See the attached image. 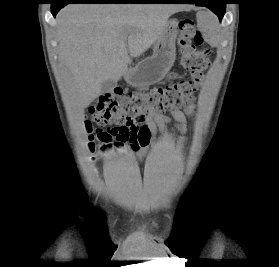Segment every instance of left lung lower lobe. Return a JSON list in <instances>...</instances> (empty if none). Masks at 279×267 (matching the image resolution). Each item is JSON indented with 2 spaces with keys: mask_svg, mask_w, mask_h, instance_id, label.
Listing matches in <instances>:
<instances>
[{
  "mask_svg": "<svg viewBox=\"0 0 279 267\" xmlns=\"http://www.w3.org/2000/svg\"><path fill=\"white\" fill-rule=\"evenodd\" d=\"M161 3H195L197 6L209 8L221 21L225 14L227 0H164Z\"/></svg>",
  "mask_w": 279,
  "mask_h": 267,
  "instance_id": "1",
  "label": "left lung lower lobe"
}]
</instances>
